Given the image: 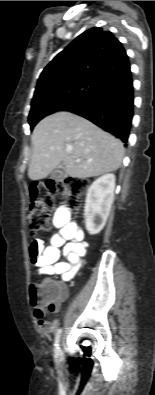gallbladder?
I'll return each mask as SVG.
<instances>
[{
	"instance_id": "obj_1",
	"label": "gallbladder",
	"mask_w": 155,
	"mask_h": 395,
	"mask_svg": "<svg viewBox=\"0 0 155 395\" xmlns=\"http://www.w3.org/2000/svg\"><path fill=\"white\" fill-rule=\"evenodd\" d=\"M67 177L66 169L60 165L51 172V178L56 181H61Z\"/></svg>"
}]
</instances>
